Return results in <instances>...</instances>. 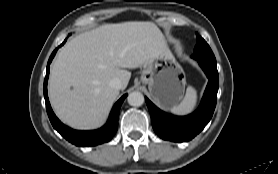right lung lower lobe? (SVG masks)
<instances>
[{
	"label": "right lung lower lobe",
	"instance_id": "right-lung-lower-lobe-1",
	"mask_svg": "<svg viewBox=\"0 0 278 174\" xmlns=\"http://www.w3.org/2000/svg\"><path fill=\"white\" fill-rule=\"evenodd\" d=\"M64 43H65V41L63 42V44ZM57 49L54 50V52L51 54V56L49 58V61L47 64L46 77L44 80V97H45V103H46V110H47V113H48L52 126L65 139H67L69 142H71L77 146H94V145H98L103 142L110 141L117 131L120 107H121L122 102L124 101L125 97L127 96V94L122 96L115 103V105L113 106V109L110 113L108 122L102 128H100L98 130H94V131H77V130H73V129L65 126L63 123H61L59 121V119L53 113L52 108L49 103L48 95H47V80L49 77V70H50L49 64L51 63L53 57L55 56Z\"/></svg>",
	"mask_w": 278,
	"mask_h": 174
}]
</instances>
